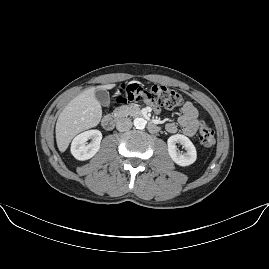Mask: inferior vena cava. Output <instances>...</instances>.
<instances>
[{
	"mask_svg": "<svg viewBox=\"0 0 269 269\" xmlns=\"http://www.w3.org/2000/svg\"><path fill=\"white\" fill-rule=\"evenodd\" d=\"M132 127V122L127 118H120L116 122V129L120 132L129 130Z\"/></svg>",
	"mask_w": 269,
	"mask_h": 269,
	"instance_id": "inferior-vena-cava-1",
	"label": "inferior vena cava"
}]
</instances>
